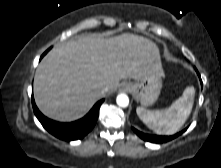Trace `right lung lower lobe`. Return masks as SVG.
<instances>
[{
    "label": "right lung lower lobe",
    "mask_w": 221,
    "mask_h": 168,
    "mask_svg": "<svg viewBox=\"0 0 221 168\" xmlns=\"http://www.w3.org/2000/svg\"><path fill=\"white\" fill-rule=\"evenodd\" d=\"M47 51L41 56V58ZM104 99L98 101L89 113L80 120L71 123H60L45 117L37 108L32 96V106L34 113L42 126L55 137L65 140H77L86 136L94 127L99 115V108Z\"/></svg>",
    "instance_id": "98d812e1"
}]
</instances>
